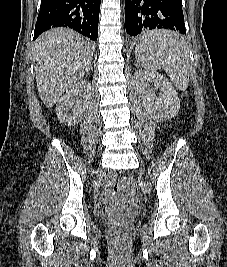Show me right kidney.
I'll return each instance as SVG.
<instances>
[{"label":"right kidney","instance_id":"1","mask_svg":"<svg viewBox=\"0 0 227 267\" xmlns=\"http://www.w3.org/2000/svg\"><path fill=\"white\" fill-rule=\"evenodd\" d=\"M91 84L80 80L60 98L56 105L58 120L68 126L79 123L89 107Z\"/></svg>","mask_w":227,"mask_h":267}]
</instances>
